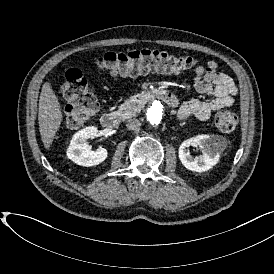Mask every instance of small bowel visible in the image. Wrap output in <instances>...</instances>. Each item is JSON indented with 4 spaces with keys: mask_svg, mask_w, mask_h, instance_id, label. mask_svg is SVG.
I'll use <instances>...</instances> for the list:
<instances>
[{
    "mask_svg": "<svg viewBox=\"0 0 274 274\" xmlns=\"http://www.w3.org/2000/svg\"><path fill=\"white\" fill-rule=\"evenodd\" d=\"M194 89L203 95H212L213 99L201 101L191 99L178 109V118L183 121H206L213 112L232 106L238 94L233 79L218 71L216 61H208L205 65H197L194 69Z\"/></svg>",
    "mask_w": 274,
    "mask_h": 274,
    "instance_id": "small-bowel-1",
    "label": "small bowel"
}]
</instances>
